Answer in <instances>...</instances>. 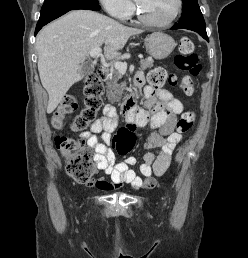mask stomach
Returning a JSON list of instances; mask_svg holds the SVG:
<instances>
[{
    "label": "stomach",
    "mask_w": 248,
    "mask_h": 258,
    "mask_svg": "<svg viewBox=\"0 0 248 258\" xmlns=\"http://www.w3.org/2000/svg\"><path fill=\"white\" fill-rule=\"evenodd\" d=\"M176 43L174 39L161 32H155L145 39L147 52L155 59H165L174 50Z\"/></svg>",
    "instance_id": "obj_1"
}]
</instances>
